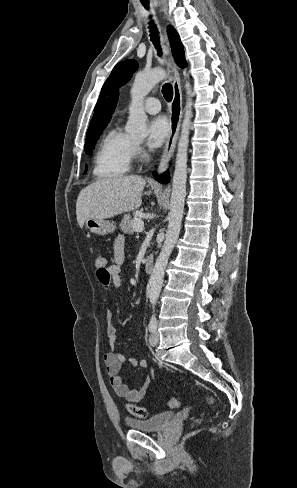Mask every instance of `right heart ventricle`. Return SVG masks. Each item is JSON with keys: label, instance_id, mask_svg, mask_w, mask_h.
Here are the masks:
<instances>
[{"label": "right heart ventricle", "instance_id": "e07e8e85", "mask_svg": "<svg viewBox=\"0 0 297 488\" xmlns=\"http://www.w3.org/2000/svg\"><path fill=\"white\" fill-rule=\"evenodd\" d=\"M132 140L116 128H111L100 140L93 174L100 179H115L128 172L133 158Z\"/></svg>", "mask_w": 297, "mask_h": 488}]
</instances>
